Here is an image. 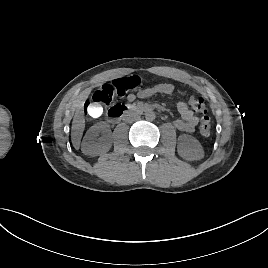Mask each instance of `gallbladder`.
<instances>
[{
  "label": "gallbladder",
  "instance_id": "gallbladder-1",
  "mask_svg": "<svg viewBox=\"0 0 268 268\" xmlns=\"http://www.w3.org/2000/svg\"><path fill=\"white\" fill-rule=\"evenodd\" d=\"M88 110L91 116L97 118L103 115L105 109L102 103L96 101L90 104Z\"/></svg>",
  "mask_w": 268,
  "mask_h": 268
}]
</instances>
